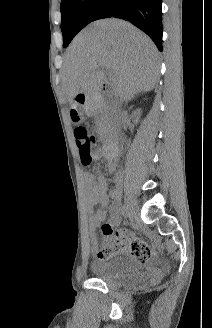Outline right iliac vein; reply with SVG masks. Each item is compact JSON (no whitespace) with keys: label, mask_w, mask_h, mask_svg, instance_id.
Listing matches in <instances>:
<instances>
[{"label":"right iliac vein","mask_w":212,"mask_h":328,"mask_svg":"<svg viewBox=\"0 0 212 328\" xmlns=\"http://www.w3.org/2000/svg\"><path fill=\"white\" fill-rule=\"evenodd\" d=\"M126 208L130 215H135L137 213L136 202L131 196H128L126 199Z\"/></svg>","instance_id":"1"}]
</instances>
